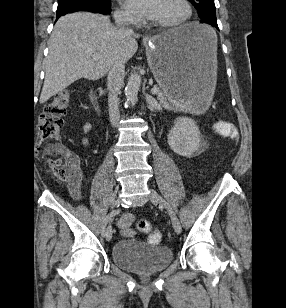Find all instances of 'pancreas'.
I'll return each instance as SVG.
<instances>
[{"instance_id":"cf45deb5","label":"pancreas","mask_w":286,"mask_h":308,"mask_svg":"<svg viewBox=\"0 0 286 308\" xmlns=\"http://www.w3.org/2000/svg\"><path fill=\"white\" fill-rule=\"evenodd\" d=\"M157 98L163 103V105L167 108L170 109L174 106H176L177 104H181L177 101H171L167 95L166 92L164 90H159V92L157 93Z\"/></svg>"}]
</instances>
